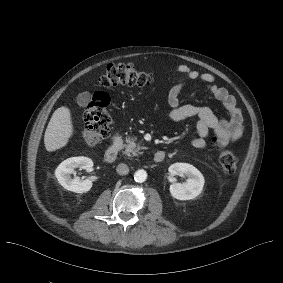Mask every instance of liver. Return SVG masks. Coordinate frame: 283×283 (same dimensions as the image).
<instances>
[{"mask_svg":"<svg viewBox=\"0 0 283 283\" xmlns=\"http://www.w3.org/2000/svg\"><path fill=\"white\" fill-rule=\"evenodd\" d=\"M73 133L70 110L60 107L54 111L44 135L47 151L64 147Z\"/></svg>","mask_w":283,"mask_h":283,"instance_id":"liver-1","label":"liver"}]
</instances>
